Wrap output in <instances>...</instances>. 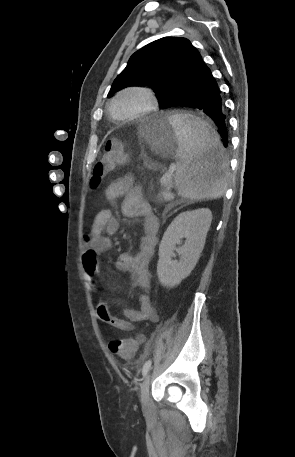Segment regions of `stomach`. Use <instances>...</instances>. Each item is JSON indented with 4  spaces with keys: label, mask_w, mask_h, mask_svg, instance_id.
Wrapping results in <instances>:
<instances>
[{
    "label": "stomach",
    "mask_w": 295,
    "mask_h": 457,
    "mask_svg": "<svg viewBox=\"0 0 295 457\" xmlns=\"http://www.w3.org/2000/svg\"><path fill=\"white\" fill-rule=\"evenodd\" d=\"M140 133L154 149L178 144L176 131L167 116H151L141 124Z\"/></svg>",
    "instance_id": "0dacf381"
}]
</instances>
